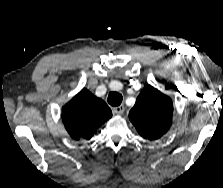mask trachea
<instances>
[{
    "instance_id": "1",
    "label": "trachea",
    "mask_w": 223,
    "mask_h": 188,
    "mask_svg": "<svg viewBox=\"0 0 223 188\" xmlns=\"http://www.w3.org/2000/svg\"><path fill=\"white\" fill-rule=\"evenodd\" d=\"M122 100H123V97L118 92H111L108 95V99H107L108 103L111 106H119L122 103Z\"/></svg>"
}]
</instances>
